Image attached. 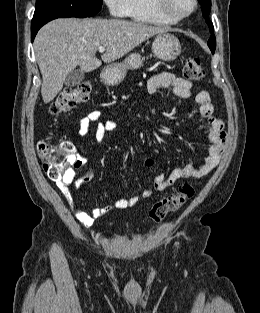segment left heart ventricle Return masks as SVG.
Wrapping results in <instances>:
<instances>
[{
  "label": "left heart ventricle",
  "mask_w": 260,
  "mask_h": 313,
  "mask_svg": "<svg viewBox=\"0 0 260 313\" xmlns=\"http://www.w3.org/2000/svg\"><path fill=\"white\" fill-rule=\"evenodd\" d=\"M167 6L172 13L180 15L191 9L192 0H167Z\"/></svg>",
  "instance_id": "obj_1"
}]
</instances>
